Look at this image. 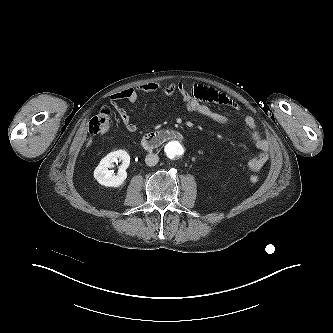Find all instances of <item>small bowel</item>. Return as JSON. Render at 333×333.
Segmentation results:
<instances>
[{
	"label": "small bowel",
	"instance_id": "small-bowel-1",
	"mask_svg": "<svg viewBox=\"0 0 333 333\" xmlns=\"http://www.w3.org/2000/svg\"><path fill=\"white\" fill-rule=\"evenodd\" d=\"M146 93L166 96L178 95L186 110L198 113L218 124H228L233 119L229 115L213 110L209 104L224 105L239 110L238 105L233 100L211 87L193 85L187 88L182 83H170L167 85L161 83H147L123 89L110 96V101L116 108L124 127L129 132H135L137 126L127 112L119 105V101L127 100L135 102ZM244 122L250 130L251 138L255 146L259 150V153L248 162L249 169L257 172L261 170L269 160L270 143L260 134L256 121L252 116H246Z\"/></svg>",
	"mask_w": 333,
	"mask_h": 333
}]
</instances>
